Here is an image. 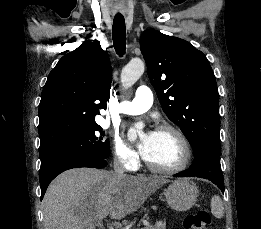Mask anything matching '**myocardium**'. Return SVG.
<instances>
[{
	"label": "myocardium",
	"instance_id": "myocardium-1",
	"mask_svg": "<svg viewBox=\"0 0 261 229\" xmlns=\"http://www.w3.org/2000/svg\"><path fill=\"white\" fill-rule=\"evenodd\" d=\"M155 131L170 132L176 137V139L181 147V158H180V161L178 162V164H176L175 166L159 167V166L153 165L151 162H149L145 158V156H143V161H144L145 165L147 166V168L150 171L159 173V174H174V173H178V172H181L182 170H184L187 167V165L190 161V157H191L190 145H189V142L186 139L185 135L178 128H176L170 124H161L156 128Z\"/></svg>",
	"mask_w": 261,
	"mask_h": 229
}]
</instances>
